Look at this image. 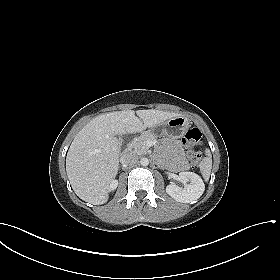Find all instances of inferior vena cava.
<instances>
[{
    "instance_id": "1",
    "label": "inferior vena cava",
    "mask_w": 280,
    "mask_h": 280,
    "mask_svg": "<svg viewBox=\"0 0 280 280\" xmlns=\"http://www.w3.org/2000/svg\"><path fill=\"white\" fill-rule=\"evenodd\" d=\"M139 160V157L134 154V153H126L123 154L120 161L122 164L125 165H132V164H136Z\"/></svg>"
}]
</instances>
